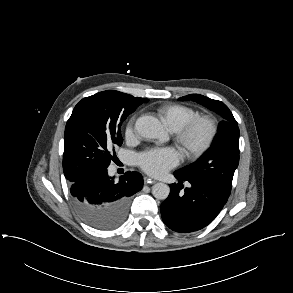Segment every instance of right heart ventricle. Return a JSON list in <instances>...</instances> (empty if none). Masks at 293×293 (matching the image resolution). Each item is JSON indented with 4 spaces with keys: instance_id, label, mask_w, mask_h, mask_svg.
Returning a JSON list of instances; mask_svg holds the SVG:
<instances>
[{
    "instance_id": "e07e8e85",
    "label": "right heart ventricle",
    "mask_w": 293,
    "mask_h": 293,
    "mask_svg": "<svg viewBox=\"0 0 293 293\" xmlns=\"http://www.w3.org/2000/svg\"><path fill=\"white\" fill-rule=\"evenodd\" d=\"M158 113L164 124L171 131H176L187 121L198 115L197 110L194 108L178 103L161 105L158 108Z\"/></svg>"
}]
</instances>
